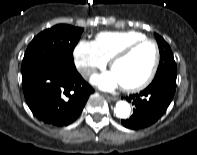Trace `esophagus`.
Listing matches in <instances>:
<instances>
[{
  "mask_svg": "<svg viewBox=\"0 0 197 155\" xmlns=\"http://www.w3.org/2000/svg\"><path fill=\"white\" fill-rule=\"evenodd\" d=\"M106 98H107L108 100H110V101H116V100H118V98L115 97V96L106 95Z\"/></svg>",
  "mask_w": 197,
  "mask_h": 155,
  "instance_id": "obj_1",
  "label": "esophagus"
}]
</instances>
